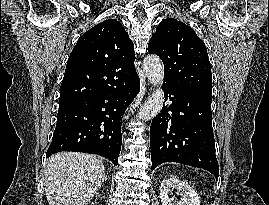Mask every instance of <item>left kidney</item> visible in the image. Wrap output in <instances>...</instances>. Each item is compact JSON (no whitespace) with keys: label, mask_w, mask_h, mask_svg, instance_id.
Segmentation results:
<instances>
[{"label":"left kidney","mask_w":269,"mask_h":205,"mask_svg":"<svg viewBox=\"0 0 269 205\" xmlns=\"http://www.w3.org/2000/svg\"><path fill=\"white\" fill-rule=\"evenodd\" d=\"M176 192L181 196L179 201L173 195ZM160 198L162 205H200L197 193L187 183L176 178L164 179L160 185Z\"/></svg>","instance_id":"5707ae66"}]
</instances>
